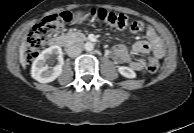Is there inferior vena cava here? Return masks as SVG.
Listing matches in <instances>:
<instances>
[{"mask_svg": "<svg viewBox=\"0 0 194 133\" xmlns=\"http://www.w3.org/2000/svg\"><path fill=\"white\" fill-rule=\"evenodd\" d=\"M82 52V48L78 46H70L67 48V54L70 57H77Z\"/></svg>", "mask_w": 194, "mask_h": 133, "instance_id": "602c4592", "label": "inferior vena cava"}]
</instances>
